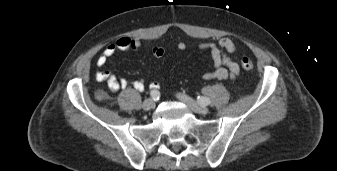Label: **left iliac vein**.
Returning a JSON list of instances; mask_svg holds the SVG:
<instances>
[{"mask_svg":"<svg viewBox=\"0 0 337 171\" xmlns=\"http://www.w3.org/2000/svg\"><path fill=\"white\" fill-rule=\"evenodd\" d=\"M177 97L180 101L185 103L192 111L198 114H207L209 112V109L207 107L198 104L196 101L186 95L178 94Z\"/></svg>","mask_w":337,"mask_h":171,"instance_id":"1","label":"left iliac vein"}]
</instances>
